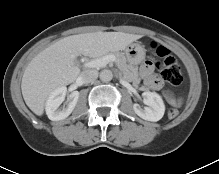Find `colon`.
<instances>
[{"label": "colon", "mask_w": 219, "mask_h": 174, "mask_svg": "<svg viewBox=\"0 0 219 174\" xmlns=\"http://www.w3.org/2000/svg\"><path fill=\"white\" fill-rule=\"evenodd\" d=\"M151 50L152 53L160 59V61L156 64V68L159 71L161 77L171 85H180L183 81V76L181 67L176 58L167 48L157 44H151ZM177 115V108L171 107L168 109L167 116L170 119L175 118Z\"/></svg>", "instance_id": "colon-1"}]
</instances>
